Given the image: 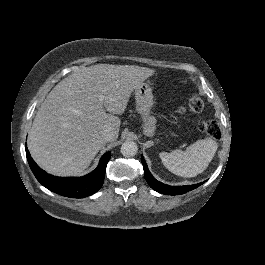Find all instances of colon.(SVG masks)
<instances>
[{"label": "colon", "instance_id": "5ec220e1", "mask_svg": "<svg viewBox=\"0 0 265 265\" xmlns=\"http://www.w3.org/2000/svg\"><path fill=\"white\" fill-rule=\"evenodd\" d=\"M203 100L198 95H193L188 105H180L177 107L176 112L183 114L187 111L198 113L203 109ZM199 129L214 139L221 137V128L219 124L214 120L203 121L199 124Z\"/></svg>", "mask_w": 265, "mask_h": 265}]
</instances>
